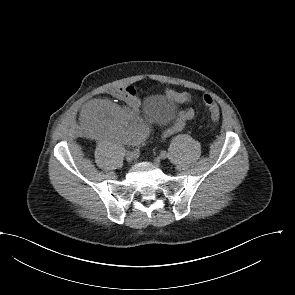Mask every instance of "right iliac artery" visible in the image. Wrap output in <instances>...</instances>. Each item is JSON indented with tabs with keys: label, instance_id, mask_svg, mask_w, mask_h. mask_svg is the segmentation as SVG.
Wrapping results in <instances>:
<instances>
[{
	"label": "right iliac artery",
	"instance_id": "82829eb1",
	"mask_svg": "<svg viewBox=\"0 0 295 295\" xmlns=\"http://www.w3.org/2000/svg\"><path fill=\"white\" fill-rule=\"evenodd\" d=\"M133 154L134 155H140L141 154V149L140 148H134L133 149Z\"/></svg>",
	"mask_w": 295,
	"mask_h": 295
}]
</instances>
